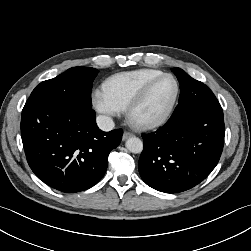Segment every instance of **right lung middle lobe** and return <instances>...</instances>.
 <instances>
[{"mask_svg": "<svg viewBox=\"0 0 251 251\" xmlns=\"http://www.w3.org/2000/svg\"><path fill=\"white\" fill-rule=\"evenodd\" d=\"M98 70L91 67H73L59 76L41 82L29 98L55 101L73 108H91L92 83Z\"/></svg>", "mask_w": 251, "mask_h": 251, "instance_id": "1", "label": "right lung middle lobe"}]
</instances>
